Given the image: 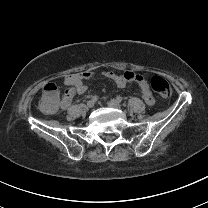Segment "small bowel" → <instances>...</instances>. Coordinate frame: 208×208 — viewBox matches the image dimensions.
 <instances>
[{"mask_svg":"<svg viewBox=\"0 0 208 208\" xmlns=\"http://www.w3.org/2000/svg\"><path fill=\"white\" fill-rule=\"evenodd\" d=\"M92 76L93 73L90 71L73 73L66 76L65 84L69 87V90L64 93V98L61 106L63 109H66L71 104H69L71 97L73 98L75 94H82L86 91L84 80L90 79ZM104 76L107 79L113 80L119 86H124L127 83H136L141 90L143 100L148 105H152L154 103V97L149 89V86L140 75L130 71L126 73H119L114 70H106L104 72Z\"/></svg>","mask_w":208,"mask_h":208,"instance_id":"1","label":"small bowel"}]
</instances>
